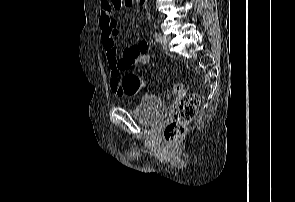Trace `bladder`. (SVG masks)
Returning a JSON list of instances; mask_svg holds the SVG:
<instances>
[{
	"label": "bladder",
	"mask_w": 295,
	"mask_h": 202,
	"mask_svg": "<svg viewBox=\"0 0 295 202\" xmlns=\"http://www.w3.org/2000/svg\"><path fill=\"white\" fill-rule=\"evenodd\" d=\"M132 112L142 124L155 126L165 119L167 105L156 95H145L133 107Z\"/></svg>",
	"instance_id": "obj_1"
}]
</instances>
